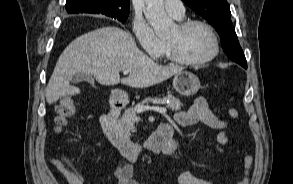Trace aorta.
I'll return each instance as SVG.
<instances>
[{
  "mask_svg": "<svg viewBox=\"0 0 293 184\" xmlns=\"http://www.w3.org/2000/svg\"><path fill=\"white\" fill-rule=\"evenodd\" d=\"M145 17L158 36L168 34L174 27V22L169 18L164 9V0H145Z\"/></svg>",
  "mask_w": 293,
  "mask_h": 184,
  "instance_id": "762f6f07",
  "label": "aorta"
}]
</instances>
